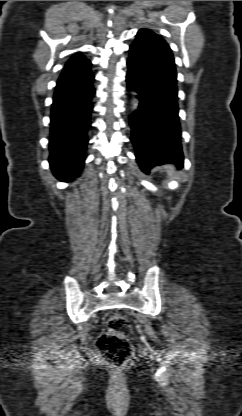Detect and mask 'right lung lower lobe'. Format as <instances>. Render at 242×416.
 Listing matches in <instances>:
<instances>
[{
    "label": "right lung lower lobe",
    "mask_w": 242,
    "mask_h": 416,
    "mask_svg": "<svg viewBox=\"0 0 242 416\" xmlns=\"http://www.w3.org/2000/svg\"><path fill=\"white\" fill-rule=\"evenodd\" d=\"M94 75L63 72L57 82L51 109L50 167L56 177L71 180L83 169L91 126Z\"/></svg>",
    "instance_id": "1"
}]
</instances>
